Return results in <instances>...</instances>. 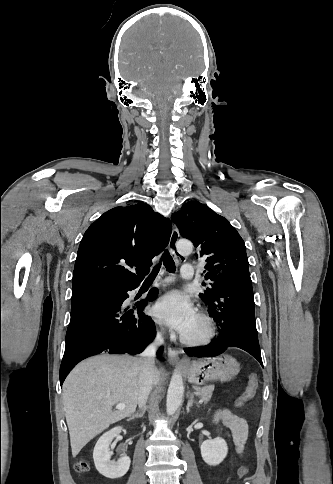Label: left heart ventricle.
Instances as JSON below:
<instances>
[{
    "instance_id": "obj_1",
    "label": "left heart ventricle",
    "mask_w": 333,
    "mask_h": 484,
    "mask_svg": "<svg viewBox=\"0 0 333 484\" xmlns=\"http://www.w3.org/2000/svg\"><path fill=\"white\" fill-rule=\"evenodd\" d=\"M204 330V324L198 317H196L189 328L185 331L184 335L189 338H198L203 335Z\"/></svg>"
}]
</instances>
